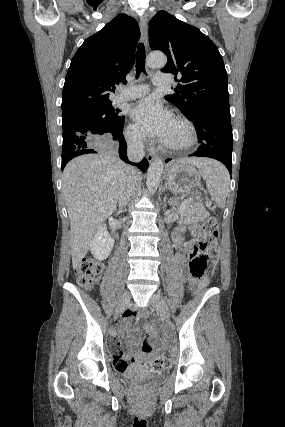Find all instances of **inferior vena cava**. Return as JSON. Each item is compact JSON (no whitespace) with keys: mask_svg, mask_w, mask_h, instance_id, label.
I'll return each instance as SVG.
<instances>
[{"mask_svg":"<svg viewBox=\"0 0 285 427\" xmlns=\"http://www.w3.org/2000/svg\"><path fill=\"white\" fill-rule=\"evenodd\" d=\"M127 156L132 162H140L144 157L143 138L140 134L133 135L127 140ZM138 170L127 166L122 176V185L119 192V206L125 207L133 195L137 181Z\"/></svg>","mask_w":285,"mask_h":427,"instance_id":"602c4592","label":"inferior vena cava"}]
</instances>
